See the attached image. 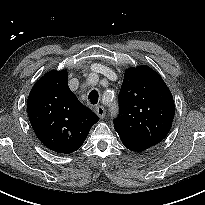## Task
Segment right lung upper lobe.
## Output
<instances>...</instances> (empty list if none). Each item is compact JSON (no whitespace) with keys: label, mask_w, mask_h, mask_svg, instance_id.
<instances>
[{"label":"right lung upper lobe","mask_w":205,"mask_h":205,"mask_svg":"<svg viewBox=\"0 0 205 205\" xmlns=\"http://www.w3.org/2000/svg\"><path fill=\"white\" fill-rule=\"evenodd\" d=\"M27 112L39 140L62 154L78 150L99 121L69 89L66 70L50 71L35 83L27 100Z\"/></svg>","instance_id":"obj_1"}]
</instances>
